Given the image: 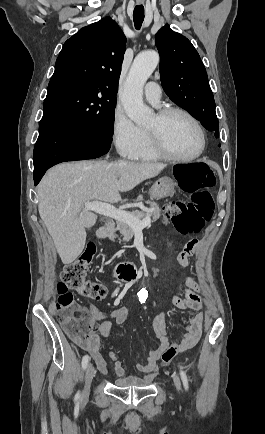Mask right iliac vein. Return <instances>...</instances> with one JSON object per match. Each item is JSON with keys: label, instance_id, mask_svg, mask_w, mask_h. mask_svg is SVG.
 <instances>
[{"label": "right iliac vein", "instance_id": "right-iliac-vein-1", "mask_svg": "<svg viewBox=\"0 0 265 434\" xmlns=\"http://www.w3.org/2000/svg\"><path fill=\"white\" fill-rule=\"evenodd\" d=\"M95 370L93 364H88L86 371H85V386L82 393V401L85 402L89 396V388L90 384L92 382V379L94 377ZM83 405V403H82Z\"/></svg>", "mask_w": 265, "mask_h": 434}]
</instances>
